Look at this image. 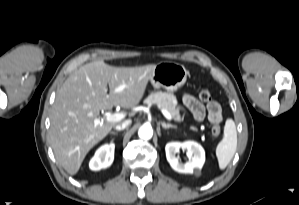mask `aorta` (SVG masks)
<instances>
[{"label":"aorta","instance_id":"aorta-1","mask_svg":"<svg viewBox=\"0 0 299 205\" xmlns=\"http://www.w3.org/2000/svg\"><path fill=\"white\" fill-rule=\"evenodd\" d=\"M138 135L141 139L149 140L153 136V129L150 125H143L139 128Z\"/></svg>","mask_w":299,"mask_h":205}]
</instances>
